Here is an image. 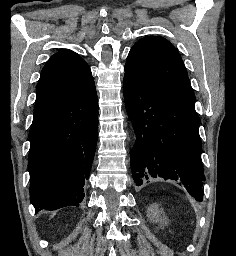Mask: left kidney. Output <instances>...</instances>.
<instances>
[{"instance_id":"1","label":"left kidney","mask_w":236,"mask_h":256,"mask_svg":"<svg viewBox=\"0 0 236 256\" xmlns=\"http://www.w3.org/2000/svg\"><path fill=\"white\" fill-rule=\"evenodd\" d=\"M161 214H163V210L158 208L156 204H152V206H150V208L147 210L149 220H153V222H160V224H165V220L162 218Z\"/></svg>"}]
</instances>
